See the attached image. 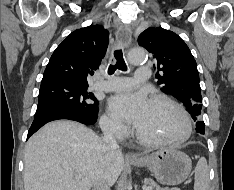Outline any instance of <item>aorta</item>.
Masks as SVG:
<instances>
[{
	"label": "aorta",
	"mask_w": 234,
	"mask_h": 190,
	"mask_svg": "<svg viewBox=\"0 0 234 190\" xmlns=\"http://www.w3.org/2000/svg\"><path fill=\"white\" fill-rule=\"evenodd\" d=\"M146 56L143 48H132L128 53V60L131 64H140L146 60Z\"/></svg>",
	"instance_id": "1"
}]
</instances>
